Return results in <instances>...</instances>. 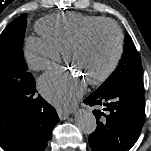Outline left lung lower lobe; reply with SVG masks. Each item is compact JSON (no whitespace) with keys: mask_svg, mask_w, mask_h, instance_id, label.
<instances>
[{"mask_svg":"<svg viewBox=\"0 0 151 151\" xmlns=\"http://www.w3.org/2000/svg\"><path fill=\"white\" fill-rule=\"evenodd\" d=\"M84 103L103 106L106 111H93L98 120L96 130L89 136L93 151H126L135 144L145 120L142 76L130 77L108 92H93Z\"/></svg>","mask_w":151,"mask_h":151,"instance_id":"1","label":"left lung lower lobe"}]
</instances>
